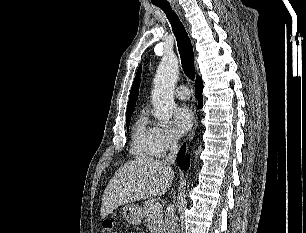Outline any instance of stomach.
Listing matches in <instances>:
<instances>
[{
  "label": "stomach",
  "mask_w": 306,
  "mask_h": 233,
  "mask_svg": "<svg viewBox=\"0 0 306 233\" xmlns=\"http://www.w3.org/2000/svg\"><path fill=\"white\" fill-rule=\"evenodd\" d=\"M123 217L130 224L139 225L142 222L143 212L139 205L130 203L124 206Z\"/></svg>",
  "instance_id": "obj_1"
}]
</instances>
